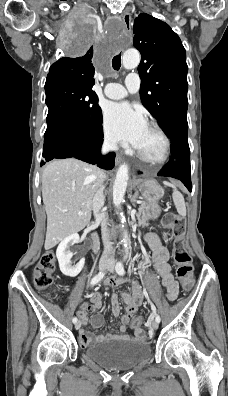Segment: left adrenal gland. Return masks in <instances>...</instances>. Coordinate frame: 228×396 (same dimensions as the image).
<instances>
[{"mask_svg": "<svg viewBox=\"0 0 228 396\" xmlns=\"http://www.w3.org/2000/svg\"><path fill=\"white\" fill-rule=\"evenodd\" d=\"M137 194H135L134 196H133V198L131 199V202H132V204L134 205V206H136L135 205V202H136V198H137Z\"/></svg>", "mask_w": 228, "mask_h": 396, "instance_id": "a2214340", "label": "left adrenal gland"}]
</instances>
